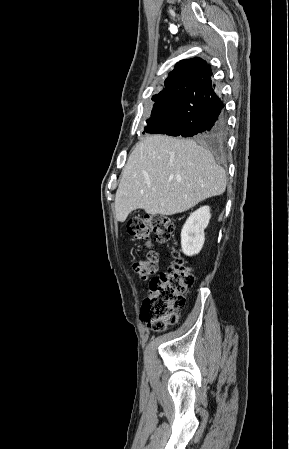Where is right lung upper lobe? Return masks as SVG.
Returning a JSON list of instances; mask_svg holds the SVG:
<instances>
[{"label": "right lung upper lobe", "instance_id": "right-lung-upper-lobe-1", "mask_svg": "<svg viewBox=\"0 0 289 449\" xmlns=\"http://www.w3.org/2000/svg\"><path fill=\"white\" fill-rule=\"evenodd\" d=\"M211 75V68L205 60L201 58L181 60L175 65L174 70L169 73L165 80V89L159 94H168L170 86L179 80H206Z\"/></svg>", "mask_w": 289, "mask_h": 449}]
</instances>
